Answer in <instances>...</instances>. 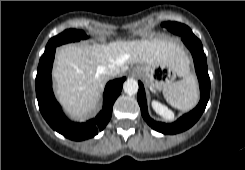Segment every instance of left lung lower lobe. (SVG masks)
<instances>
[{"label":"left lung lower lobe","mask_w":245,"mask_h":170,"mask_svg":"<svg viewBox=\"0 0 245 170\" xmlns=\"http://www.w3.org/2000/svg\"><path fill=\"white\" fill-rule=\"evenodd\" d=\"M181 38L184 44L191 51L196 74L200 85V102L195 109L180 117L176 122L166 124L156 122L150 118L147 110V102L143 84L139 81V91L137 95L138 103L141 108V114L144 120L155 130L163 134H176L183 132L193 126L202 115L206 108L210 95V78L206 62V55L203 51L201 41L192 33L189 27L182 29Z\"/></svg>","instance_id":"1"}]
</instances>
